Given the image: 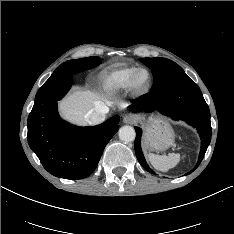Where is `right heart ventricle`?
<instances>
[{
	"label": "right heart ventricle",
	"mask_w": 234,
	"mask_h": 234,
	"mask_svg": "<svg viewBox=\"0 0 234 234\" xmlns=\"http://www.w3.org/2000/svg\"><path fill=\"white\" fill-rule=\"evenodd\" d=\"M137 66L119 65L104 71L100 76L101 86L106 92L114 93L128 88Z\"/></svg>",
	"instance_id": "1"
}]
</instances>
